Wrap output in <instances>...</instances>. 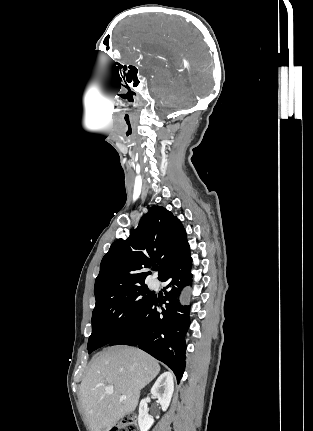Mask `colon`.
<instances>
[{"instance_id": "obj_1", "label": "colon", "mask_w": 313, "mask_h": 431, "mask_svg": "<svg viewBox=\"0 0 313 431\" xmlns=\"http://www.w3.org/2000/svg\"><path fill=\"white\" fill-rule=\"evenodd\" d=\"M111 431H138L136 416L134 414L125 415Z\"/></svg>"}]
</instances>
